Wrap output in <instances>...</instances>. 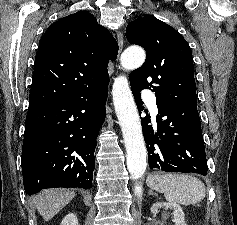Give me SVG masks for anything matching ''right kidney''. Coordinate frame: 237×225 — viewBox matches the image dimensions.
<instances>
[{"label":"right kidney","instance_id":"1","mask_svg":"<svg viewBox=\"0 0 237 225\" xmlns=\"http://www.w3.org/2000/svg\"><path fill=\"white\" fill-rule=\"evenodd\" d=\"M61 225H78L77 216L74 213L67 214L63 218Z\"/></svg>","mask_w":237,"mask_h":225}]
</instances>
